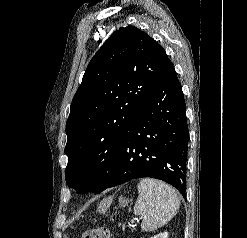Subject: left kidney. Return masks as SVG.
I'll return each instance as SVG.
<instances>
[{
	"label": "left kidney",
	"mask_w": 247,
	"mask_h": 238,
	"mask_svg": "<svg viewBox=\"0 0 247 238\" xmlns=\"http://www.w3.org/2000/svg\"><path fill=\"white\" fill-rule=\"evenodd\" d=\"M151 238H168V233L164 232V233H160L158 235H155L154 237Z\"/></svg>",
	"instance_id": "5707ae66"
}]
</instances>
